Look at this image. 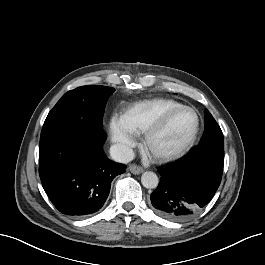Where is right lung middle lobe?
I'll return each mask as SVG.
<instances>
[{
    "label": "right lung middle lobe",
    "mask_w": 265,
    "mask_h": 265,
    "mask_svg": "<svg viewBox=\"0 0 265 265\" xmlns=\"http://www.w3.org/2000/svg\"><path fill=\"white\" fill-rule=\"evenodd\" d=\"M114 88L88 85L65 93L48 115L76 114L94 128H103V113Z\"/></svg>",
    "instance_id": "1"
}]
</instances>
